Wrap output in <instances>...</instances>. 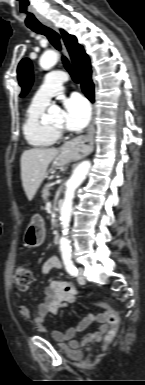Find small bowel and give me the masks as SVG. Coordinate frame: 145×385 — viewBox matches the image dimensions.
Listing matches in <instances>:
<instances>
[{
	"instance_id": "1",
	"label": "small bowel",
	"mask_w": 145,
	"mask_h": 385,
	"mask_svg": "<svg viewBox=\"0 0 145 385\" xmlns=\"http://www.w3.org/2000/svg\"><path fill=\"white\" fill-rule=\"evenodd\" d=\"M62 264L58 257L53 256L47 259L41 266V273L47 274L52 269H61ZM63 284L67 286L70 292H61L57 289V285ZM74 288L76 292H74ZM78 293V289L69 283L64 282H52L44 289V301L39 304L37 313L33 314L26 305H20L18 307L19 314L28 320H31L36 325L37 330L40 333H46L47 327L45 325L46 318L49 314H57L59 310L66 307L68 304L73 303L75 295ZM97 323L98 327L95 331L85 334L80 341L75 340L76 334L85 331L90 325ZM109 326L107 324L106 313L86 314L77 321L75 326L70 327L66 332L53 331L52 336L56 341L65 342L68 341L72 349H77L80 346L87 345L92 341L100 340L103 335L108 331Z\"/></svg>"
}]
</instances>
